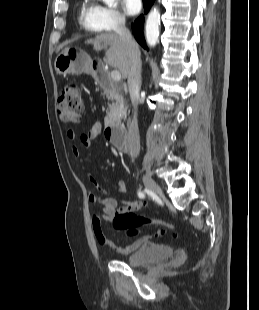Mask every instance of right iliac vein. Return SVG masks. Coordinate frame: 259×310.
Wrapping results in <instances>:
<instances>
[{
  "mask_svg": "<svg viewBox=\"0 0 259 310\" xmlns=\"http://www.w3.org/2000/svg\"><path fill=\"white\" fill-rule=\"evenodd\" d=\"M142 180L148 190L157 195L163 196L160 186L150 176L143 175Z\"/></svg>",
  "mask_w": 259,
  "mask_h": 310,
  "instance_id": "63e3f726",
  "label": "right iliac vein"
}]
</instances>
